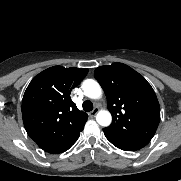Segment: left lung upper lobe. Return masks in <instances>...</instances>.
I'll list each match as a JSON object with an SVG mask.
<instances>
[{"label": "left lung upper lobe", "instance_id": "1", "mask_svg": "<svg viewBox=\"0 0 181 181\" xmlns=\"http://www.w3.org/2000/svg\"><path fill=\"white\" fill-rule=\"evenodd\" d=\"M94 77L107 97L112 123L103 129L106 137L121 142L148 144L160 121V106L148 81L123 63L100 66Z\"/></svg>", "mask_w": 181, "mask_h": 181}]
</instances>
